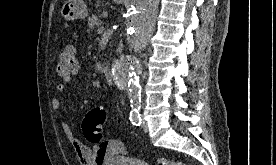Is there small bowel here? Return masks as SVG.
Listing matches in <instances>:
<instances>
[{"label": "small bowel", "instance_id": "small-bowel-1", "mask_svg": "<svg viewBox=\"0 0 276 165\" xmlns=\"http://www.w3.org/2000/svg\"><path fill=\"white\" fill-rule=\"evenodd\" d=\"M70 79L71 77H62V82L56 85V90L59 92L64 91L65 83L69 82ZM52 107H53L55 116L59 120L61 127L63 129V132L75 153V156L77 158L79 165H108L116 156L124 152L123 144L118 140H114V141L122 147V151L120 153L109 152L105 154H100L97 147L92 148L85 145L75 136L71 127L65 120L61 103L58 98L52 99Z\"/></svg>", "mask_w": 276, "mask_h": 165}]
</instances>
